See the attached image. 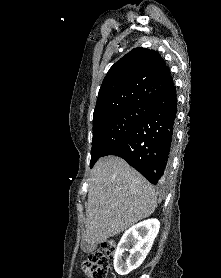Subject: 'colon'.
I'll list each match as a JSON object with an SVG mask.
<instances>
[{"label":"colon","instance_id":"colon-1","mask_svg":"<svg viewBox=\"0 0 221 278\" xmlns=\"http://www.w3.org/2000/svg\"><path fill=\"white\" fill-rule=\"evenodd\" d=\"M116 251L114 240L104 241L100 249L91 252L83 262V270L88 278H106L109 258H112Z\"/></svg>","mask_w":221,"mask_h":278}]
</instances>
